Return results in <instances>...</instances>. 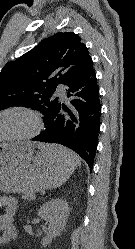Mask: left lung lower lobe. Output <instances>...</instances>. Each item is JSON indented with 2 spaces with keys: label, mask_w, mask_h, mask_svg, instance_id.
Returning <instances> with one entry per match:
<instances>
[{
  "label": "left lung lower lobe",
  "mask_w": 135,
  "mask_h": 249,
  "mask_svg": "<svg viewBox=\"0 0 135 249\" xmlns=\"http://www.w3.org/2000/svg\"><path fill=\"white\" fill-rule=\"evenodd\" d=\"M67 86L70 106L58 102L44 120L46 130L32 140L62 144L79 154L92 169L101 118L99 87L93 65Z\"/></svg>",
  "instance_id": "1"
}]
</instances>
